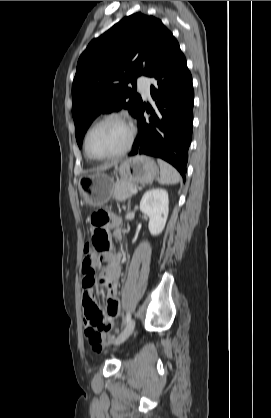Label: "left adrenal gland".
<instances>
[{"mask_svg": "<svg viewBox=\"0 0 271 418\" xmlns=\"http://www.w3.org/2000/svg\"><path fill=\"white\" fill-rule=\"evenodd\" d=\"M130 206H131V204H130V201H129V203H128V211L130 210Z\"/></svg>", "mask_w": 271, "mask_h": 418, "instance_id": "1", "label": "left adrenal gland"}]
</instances>
